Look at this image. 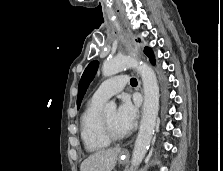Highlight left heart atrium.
Instances as JSON below:
<instances>
[{"instance_id":"39dd6f15","label":"left heart atrium","mask_w":223,"mask_h":171,"mask_svg":"<svg viewBox=\"0 0 223 171\" xmlns=\"http://www.w3.org/2000/svg\"><path fill=\"white\" fill-rule=\"evenodd\" d=\"M137 108L128 98H124L116 112V122L124 133L129 132L135 126Z\"/></svg>"}]
</instances>
